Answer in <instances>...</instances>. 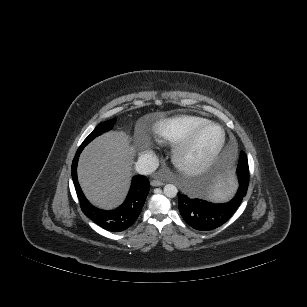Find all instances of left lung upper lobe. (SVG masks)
<instances>
[{
    "label": "left lung upper lobe",
    "mask_w": 307,
    "mask_h": 307,
    "mask_svg": "<svg viewBox=\"0 0 307 307\" xmlns=\"http://www.w3.org/2000/svg\"><path fill=\"white\" fill-rule=\"evenodd\" d=\"M237 175L239 178H242V177H246L247 179L249 178V172L243 173L238 167H237Z\"/></svg>",
    "instance_id": "1"
}]
</instances>
